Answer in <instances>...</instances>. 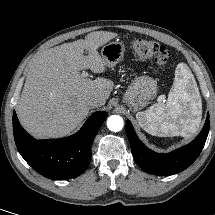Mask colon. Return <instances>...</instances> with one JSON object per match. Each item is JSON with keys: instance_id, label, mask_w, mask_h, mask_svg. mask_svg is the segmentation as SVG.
<instances>
[{"instance_id": "5ec220e1", "label": "colon", "mask_w": 215, "mask_h": 215, "mask_svg": "<svg viewBox=\"0 0 215 215\" xmlns=\"http://www.w3.org/2000/svg\"><path fill=\"white\" fill-rule=\"evenodd\" d=\"M132 49L139 59H152L159 65H165L171 56L165 46L147 39H135L132 42Z\"/></svg>"}]
</instances>
